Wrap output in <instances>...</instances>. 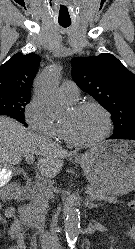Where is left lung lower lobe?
Instances as JSON below:
<instances>
[{
	"label": "left lung lower lobe",
	"instance_id": "left-lung-lower-lobe-1",
	"mask_svg": "<svg viewBox=\"0 0 135 249\" xmlns=\"http://www.w3.org/2000/svg\"><path fill=\"white\" fill-rule=\"evenodd\" d=\"M109 139H131L135 140V126L131 127V129L122 134L114 133Z\"/></svg>",
	"mask_w": 135,
	"mask_h": 249
}]
</instances>
